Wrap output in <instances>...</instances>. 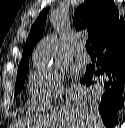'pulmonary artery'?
Masks as SVG:
<instances>
[{
    "mask_svg": "<svg viewBox=\"0 0 125 128\" xmlns=\"http://www.w3.org/2000/svg\"><path fill=\"white\" fill-rule=\"evenodd\" d=\"M75 59L78 63L86 64L90 61L89 55L84 50V44H79L75 53Z\"/></svg>",
    "mask_w": 125,
    "mask_h": 128,
    "instance_id": "1",
    "label": "pulmonary artery"
}]
</instances>
